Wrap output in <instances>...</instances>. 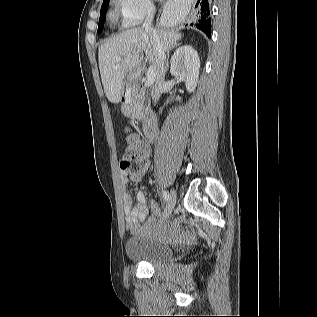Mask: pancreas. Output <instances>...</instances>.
Instances as JSON below:
<instances>
[{"mask_svg": "<svg viewBox=\"0 0 317 317\" xmlns=\"http://www.w3.org/2000/svg\"><path fill=\"white\" fill-rule=\"evenodd\" d=\"M144 101H145V88L132 91V102L130 105L131 114L142 120L144 118Z\"/></svg>", "mask_w": 317, "mask_h": 317, "instance_id": "cf45deb5", "label": "pancreas"}]
</instances>
